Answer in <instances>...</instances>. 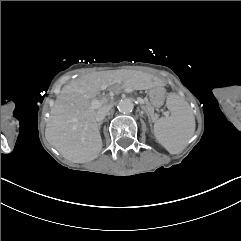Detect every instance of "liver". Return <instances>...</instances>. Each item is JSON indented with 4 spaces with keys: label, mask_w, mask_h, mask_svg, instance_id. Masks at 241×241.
Wrapping results in <instances>:
<instances>
[{
    "label": "liver",
    "mask_w": 241,
    "mask_h": 241,
    "mask_svg": "<svg viewBox=\"0 0 241 241\" xmlns=\"http://www.w3.org/2000/svg\"><path fill=\"white\" fill-rule=\"evenodd\" d=\"M133 71H100L78 77L66 84L57 97L47 124L46 140L55 147L65 159L74 163H85L97 158L102 150V139L96 114L106 106L92 105L101 90H118L130 87L144 90L156 86L151 77H133ZM132 81L133 83H130ZM147 83L141 87L137 84Z\"/></svg>",
    "instance_id": "6515ba94"
}]
</instances>
